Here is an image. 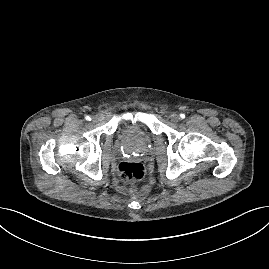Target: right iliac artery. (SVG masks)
<instances>
[{
  "label": "right iliac artery",
  "mask_w": 269,
  "mask_h": 269,
  "mask_svg": "<svg viewBox=\"0 0 269 269\" xmlns=\"http://www.w3.org/2000/svg\"><path fill=\"white\" fill-rule=\"evenodd\" d=\"M85 119H86L87 121H90V120H91V117H90V116H86Z\"/></svg>",
  "instance_id": "obj_1"
}]
</instances>
